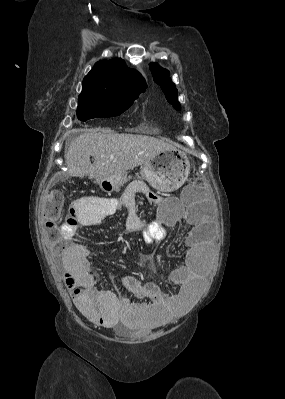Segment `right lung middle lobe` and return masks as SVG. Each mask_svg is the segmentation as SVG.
<instances>
[{
    "mask_svg": "<svg viewBox=\"0 0 285 399\" xmlns=\"http://www.w3.org/2000/svg\"><path fill=\"white\" fill-rule=\"evenodd\" d=\"M139 94L122 95L109 98H79L77 117L86 121L98 117H114L127 110Z\"/></svg>",
    "mask_w": 285,
    "mask_h": 399,
    "instance_id": "dd1d6c3e",
    "label": "right lung middle lobe"
}]
</instances>
